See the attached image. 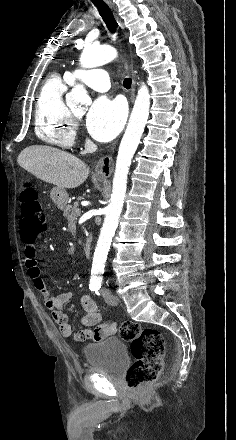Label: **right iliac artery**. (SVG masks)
Wrapping results in <instances>:
<instances>
[{"label":"right iliac artery","instance_id":"82829eb1","mask_svg":"<svg viewBox=\"0 0 236 440\" xmlns=\"http://www.w3.org/2000/svg\"><path fill=\"white\" fill-rule=\"evenodd\" d=\"M89 289H90L91 291H95L96 287H95V286H89Z\"/></svg>","mask_w":236,"mask_h":440}]
</instances>
